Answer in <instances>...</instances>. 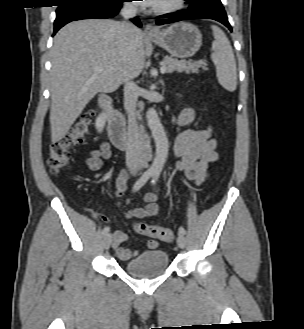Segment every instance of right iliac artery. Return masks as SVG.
Here are the masks:
<instances>
[{"mask_svg": "<svg viewBox=\"0 0 304 329\" xmlns=\"http://www.w3.org/2000/svg\"><path fill=\"white\" fill-rule=\"evenodd\" d=\"M153 175V173L151 171H147L145 172L134 184L132 191L136 192L138 191L149 179L150 177ZM110 231L109 227H105L102 231L103 235L108 234V232Z\"/></svg>", "mask_w": 304, "mask_h": 329, "instance_id": "obj_1", "label": "right iliac artery"}]
</instances>
